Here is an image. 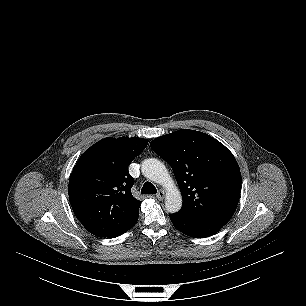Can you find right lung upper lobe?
I'll return each mask as SVG.
<instances>
[{"mask_svg": "<svg viewBox=\"0 0 306 306\" xmlns=\"http://www.w3.org/2000/svg\"><path fill=\"white\" fill-rule=\"evenodd\" d=\"M142 138H105L87 149L69 179V200L93 235L115 238L133 227L141 201L131 193L128 165L147 146Z\"/></svg>", "mask_w": 306, "mask_h": 306, "instance_id": "1", "label": "right lung upper lobe"}]
</instances>
